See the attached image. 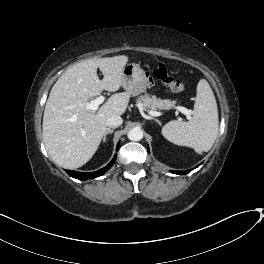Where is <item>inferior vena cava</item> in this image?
Wrapping results in <instances>:
<instances>
[{
    "label": "inferior vena cava",
    "instance_id": "obj_1",
    "mask_svg": "<svg viewBox=\"0 0 264 264\" xmlns=\"http://www.w3.org/2000/svg\"><path fill=\"white\" fill-rule=\"evenodd\" d=\"M123 123V120L118 115H113L106 120V125L110 128L119 127Z\"/></svg>",
    "mask_w": 264,
    "mask_h": 264
}]
</instances>
